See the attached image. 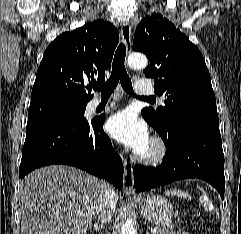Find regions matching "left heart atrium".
<instances>
[{
	"mask_svg": "<svg viewBox=\"0 0 241 234\" xmlns=\"http://www.w3.org/2000/svg\"><path fill=\"white\" fill-rule=\"evenodd\" d=\"M107 130L116 141L138 154L150 142L146 123L131 109L113 114L107 121Z\"/></svg>",
	"mask_w": 241,
	"mask_h": 234,
	"instance_id": "1",
	"label": "left heart atrium"
}]
</instances>
